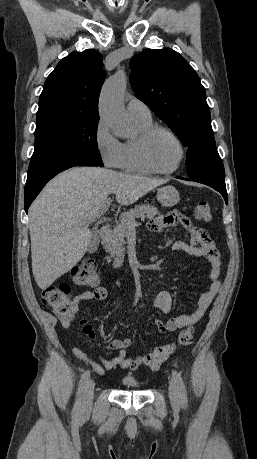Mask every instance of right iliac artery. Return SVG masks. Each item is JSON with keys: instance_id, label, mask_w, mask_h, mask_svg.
Returning a JSON list of instances; mask_svg holds the SVG:
<instances>
[{"instance_id": "right-iliac-artery-1", "label": "right iliac artery", "mask_w": 257, "mask_h": 459, "mask_svg": "<svg viewBox=\"0 0 257 459\" xmlns=\"http://www.w3.org/2000/svg\"><path fill=\"white\" fill-rule=\"evenodd\" d=\"M89 377H90L89 370L85 371L81 376V379H80V382H79V387H78V392H77V400H76L74 408H73V415L74 416H77L80 413V410H81V395H82V392H83V389H84L86 383L89 380Z\"/></svg>"}]
</instances>
